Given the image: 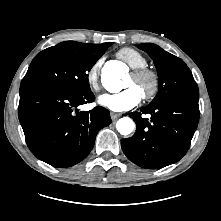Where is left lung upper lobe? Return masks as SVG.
I'll return each mask as SVG.
<instances>
[{
	"label": "left lung upper lobe",
	"instance_id": "left-lung-upper-lobe-1",
	"mask_svg": "<svg viewBox=\"0 0 221 221\" xmlns=\"http://www.w3.org/2000/svg\"><path fill=\"white\" fill-rule=\"evenodd\" d=\"M153 59L159 78V91L149 105H156L177 97L199 98L198 86L187 65L158 45L143 43L138 46Z\"/></svg>",
	"mask_w": 221,
	"mask_h": 221
}]
</instances>
